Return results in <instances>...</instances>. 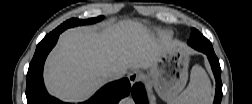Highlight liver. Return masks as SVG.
Masks as SVG:
<instances>
[{"label": "liver", "mask_w": 252, "mask_h": 104, "mask_svg": "<svg viewBox=\"0 0 252 104\" xmlns=\"http://www.w3.org/2000/svg\"><path fill=\"white\" fill-rule=\"evenodd\" d=\"M167 46L179 44L157 39L134 20L108 23L101 31L95 26L69 29L46 61L45 85L61 100L84 101L109 80L108 70H148Z\"/></svg>", "instance_id": "1"}]
</instances>
